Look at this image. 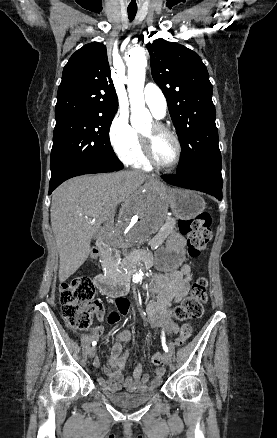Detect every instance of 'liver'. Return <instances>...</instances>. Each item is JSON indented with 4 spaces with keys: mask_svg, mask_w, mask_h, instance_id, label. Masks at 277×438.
I'll list each match as a JSON object with an SVG mask.
<instances>
[{
    "mask_svg": "<svg viewBox=\"0 0 277 438\" xmlns=\"http://www.w3.org/2000/svg\"><path fill=\"white\" fill-rule=\"evenodd\" d=\"M146 178L144 172L88 174L71 178L53 192L50 218L61 284L87 260L90 242L101 224H113L119 204L130 205L131 188H140Z\"/></svg>",
    "mask_w": 277,
    "mask_h": 438,
    "instance_id": "liver-1",
    "label": "liver"
}]
</instances>
